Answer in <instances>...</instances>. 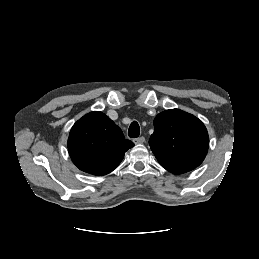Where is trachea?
<instances>
[{"mask_svg":"<svg viewBox=\"0 0 259 259\" xmlns=\"http://www.w3.org/2000/svg\"><path fill=\"white\" fill-rule=\"evenodd\" d=\"M140 134V127L136 121H133L129 127L128 135L130 138H137Z\"/></svg>","mask_w":259,"mask_h":259,"instance_id":"trachea-1","label":"trachea"}]
</instances>
